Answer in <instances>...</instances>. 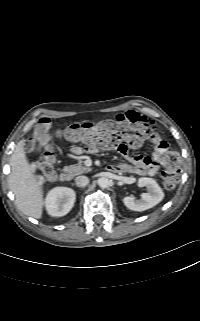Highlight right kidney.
Returning a JSON list of instances; mask_svg holds the SVG:
<instances>
[{
    "mask_svg": "<svg viewBox=\"0 0 200 321\" xmlns=\"http://www.w3.org/2000/svg\"><path fill=\"white\" fill-rule=\"evenodd\" d=\"M76 194L68 187H56L49 191L45 199L46 210L53 217L66 215L74 206Z\"/></svg>",
    "mask_w": 200,
    "mask_h": 321,
    "instance_id": "1",
    "label": "right kidney"
}]
</instances>
